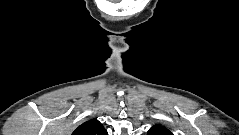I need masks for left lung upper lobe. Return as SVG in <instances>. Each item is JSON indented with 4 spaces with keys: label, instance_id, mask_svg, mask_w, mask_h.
I'll list each match as a JSON object with an SVG mask.
<instances>
[{
    "label": "left lung upper lobe",
    "instance_id": "5c2ea615",
    "mask_svg": "<svg viewBox=\"0 0 239 135\" xmlns=\"http://www.w3.org/2000/svg\"><path fill=\"white\" fill-rule=\"evenodd\" d=\"M148 135H172V133L163 126L155 125L150 128Z\"/></svg>",
    "mask_w": 239,
    "mask_h": 135
}]
</instances>
